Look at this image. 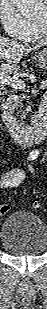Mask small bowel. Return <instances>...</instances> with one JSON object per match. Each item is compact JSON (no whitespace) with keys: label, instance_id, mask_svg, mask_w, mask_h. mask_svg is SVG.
I'll list each match as a JSON object with an SVG mask.
<instances>
[{"label":"small bowel","instance_id":"obj_1","mask_svg":"<svg viewBox=\"0 0 47 309\" xmlns=\"http://www.w3.org/2000/svg\"><path fill=\"white\" fill-rule=\"evenodd\" d=\"M38 154H39L38 150L33 151L28 158L29 161L36 159ZM27 173L33 176L35 175V169L30 164L27 165L26 170L25 169H15L12 171L5 172L1 177L0 185L3 188L19 186L24 182Z\"/></svg>","mask_w":47,"mask_h":309}]
</instances>
